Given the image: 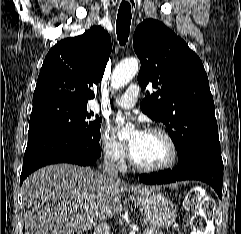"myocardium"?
<instances>
[{"instance_id": "f54148a6", "label": "myocardium", "mask_w": 241, "mask_h": 234, "mask_svg": "<svg viewBox=\"0 0 241 234\" xmlns=\"http://www.w3.org/2000/svg\"><path fill=\"white\" fill-rule=\"evenodd\" d=\"M146 132L150 133H157L161 135L167 142L169 149H170V157L162 165L159 166H146L142 165L137 160L134 158L131 146H129V160L131 165L137 169L138 171L145 172V173H157V172H162L170 169L171 167L174 166V164L177 161L178 158V148L176 145V142L174 141L173 137L170 135L168 131H166L164 128L159 127V126H153L150 127L146 130Z\"/></svg>"}]
</instances>
